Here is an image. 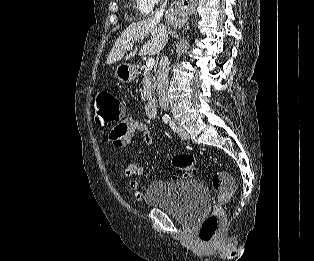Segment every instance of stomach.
Wrapping results in <instances>:
<instances>
[{"label": "stomach", "mask_w": 314, "mask_h": 261, "mask_svg": "<svg viewBox=\"0 0 314 261\" xmlns=\"http://www.w3.org/2000/svg\"><path fill=\"white\" fill-rule=\"evenodd\" d=\"M117 79L122 83H131L136 77V68L134 65L122 63L115 69Z\"/></svg>", "instance_id": "0dacf381"}]
</instances>
